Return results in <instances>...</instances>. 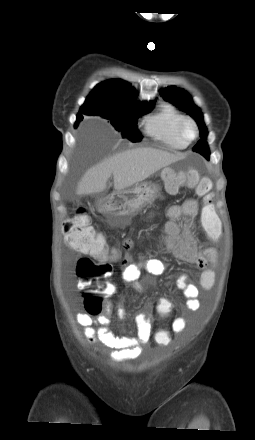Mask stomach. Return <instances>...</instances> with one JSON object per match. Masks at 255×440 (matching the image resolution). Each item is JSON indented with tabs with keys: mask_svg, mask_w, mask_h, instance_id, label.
<instances>
[{
	"mask_svg": "<svg viewBox=\"0 0 255 440\" xmlns=\"http://www.w3.org/2000/svg\"><path fill=\"white\" fill-rule=\"evenodd\" d=\"M159 187L152 183H140L116 191L111 196L97 201L100 212L113 217L120 224H127L142 209L151 205L157 198Z\"/></svg>",
	"mask_w": 255,
	"mask_h": 440,
	"instance_id": "obj_1",
	"label": "stomach"
}]
</instances>
